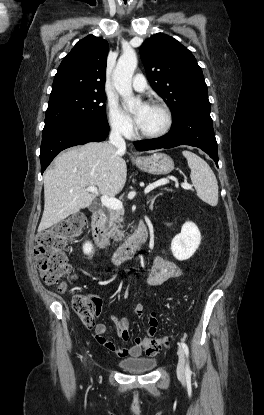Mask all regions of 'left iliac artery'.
Masks as SVG:
<instances>
[{
	"mask_svg": "<svg viewBox=\"0 0 264 415\" xmlns=\"http://www.w3.org/2000/svg\"><path fill=\"white\" fill-rule=\"evenodd\" d=\"M180 345H181V347L183 348V350H184V352H185V354H186V356H187V358H188V355H189V349H188V346H187V344L186 343H184V342H181L180 343ZM191 370H190V367H189V364H188V362H187V364H186V370H185V374H186V377L187 378H190L191 377Z\"/></svg>",
	"mask_w": 264,
	"mask_h": 415,
	"instance_id": "1",
	"label": "left iliac artery"
}]
</instances>
